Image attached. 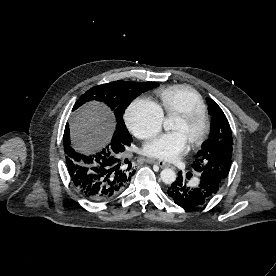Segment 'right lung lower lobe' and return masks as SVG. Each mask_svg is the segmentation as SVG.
Segmentation results:
<instances>
[{"instance_id": "obj_1", "label": "right lung lower lobe", "mask_w": 276, "mask_h": 276, "mask_svg": "<svg viewBox=\"0 0 276 276\" xmlns=\"http://www.w3.org/2000/svg\"><path fill=\"white\" fill-rule=\"evenodd\" d=\"M63 145L72 184L90 201L104 202L115 198L127 187L135 173V170L130 169L131 165L128 168L121 166L120 158L113 153L116 152V144L111 143V147L106 146L92 155L74 151L70 145L68 124L64 131ZM125 147L121 146V151Z\"/></svg>"}]
</instances>
